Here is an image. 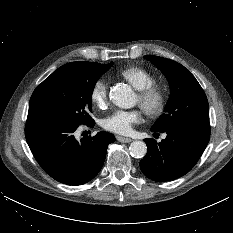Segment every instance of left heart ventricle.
<instances>
[{"mask_svg": "<svg viewBox=\"0 0 233 233\" xmlns=\"http://www.w3.org/2000/svg\"><path fill=\"white\" fill-rule=\"evenodd\" d=\"M137 102H139V98L137 97Z\"/></svg>", "mask_w": 233, "mask_h": 233, "instance_id": "b2bd125f", "label": "left heart ventricle"}]
</instances>
